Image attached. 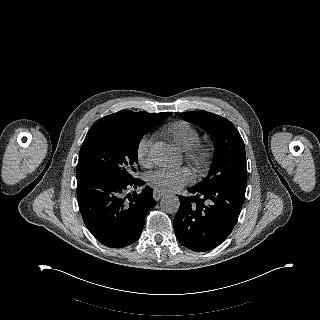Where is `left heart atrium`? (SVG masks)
<instances>
[{
	"label": "left heart atrium",
	"mask_w": 320,
	"mask_h": 320,
	"mask_svg": "<svg viewBox=\"0 0 320 320\" xmlns=\"http://www.w3.org/2000/svg\"><path fill=\"white\" fill-rule=\"evenodd\" d=\"M190 179L184 168H161L152 172L150 182L162 191H176Z\"/></svg>",
	"instance_id": "1"
}]
</instances>
